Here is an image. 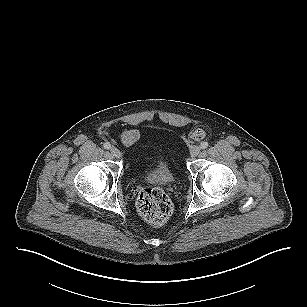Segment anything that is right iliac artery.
Listing matches in <instances>:
<instances>
[{"label": "right iliac artery", "instance_id": "obj_1", "mask_svg": "<svg viewBox=\"0 0 307 307\" xmlns=\"http://www.w3.org/2000/svg\"><path fill=\"white\" fill-rule=\"evenodd\" d=\"M103 147H104L105 149H110V148H111V144L108 143V142H106V143H104Z\"/></svg>", "mask_w": 307, "mask_h": 307}]
</instances>
